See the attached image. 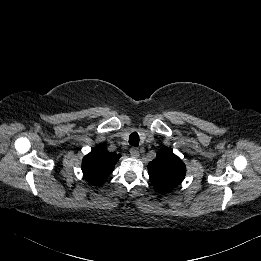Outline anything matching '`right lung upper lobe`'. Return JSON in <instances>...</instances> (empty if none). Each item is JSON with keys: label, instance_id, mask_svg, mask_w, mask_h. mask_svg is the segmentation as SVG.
Masks as SVG:
<instances>
[{"label": "right lung upper lobe", "instance_id": "obj_1", "mask_svg": "<svg viewBox=\"0 0 261 261\" xmlns=\"http://www.w3.org/2000/svg\"><path fill=\"white\" fill-rule=\"evenodd\" d=\"M119 158L120 155L109 152L105 145H101L84 157L83 174L89 182L100 185L111 174Z\"/></svg>", "mask_w": 261, "mask_h": 261}]
</instances>
